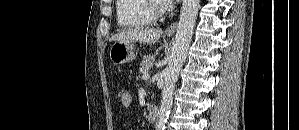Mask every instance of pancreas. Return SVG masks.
Listing matches in <instances>:
<instances>
[{
    "label": "pancreas",
    "mask_w": 299,
    "mask_h": 130,
    "mask_svg": "<svg viewBox=\"0 0 299 130\" xmlns=\"http://www.w3.org/2000/svg\"><path fill=\"white\" fill-rule=\"evenodd\" d=\"M154 56L153 55H145L142 58V63L140 65V72L142 74H146L149 69L153 66Z\"/></svg>",
    "instance_id": "obj_1"
}]
</instances>
